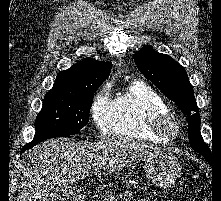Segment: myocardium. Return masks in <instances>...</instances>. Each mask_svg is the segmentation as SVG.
<instances>
[{"instance_id":"obj_1","label":"myocardium","mask_w":221,"mask_h":201,"mask_svg":"<svg viewBox=\"0 0 221 201\" xmlns=\"http://www.w3.org/2000/svg\"><path fill=\"white\" fill-rule=\"evenodd\" d=\"M147 125L153 134L169 140L177 138L181 132L178 118L170 111L152 115Z\"/></svg>"}]
</instances>
